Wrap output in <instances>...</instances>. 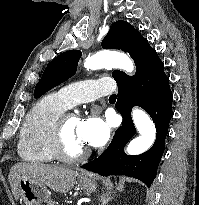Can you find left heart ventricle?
<instances>
[{
	"instance_id": "left-heart-ventricle-1",
	"label": "left heart ventricle",
	"mask_w": 199,
	"mask_h": 205,
	"mask_svg": "<svg viewBox=\"0 0 199 205\" xmlns=\"http://www.w3.org/2000/svg\"><path fill=\"white\" fill-rule=\"evenodd\" d=\"M80 119L77 115L71 114L66 122L64 132V146L67 152L76 153L86 148V144L79 136Z\"/></svg>"
}]
</instances>
